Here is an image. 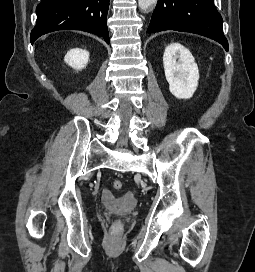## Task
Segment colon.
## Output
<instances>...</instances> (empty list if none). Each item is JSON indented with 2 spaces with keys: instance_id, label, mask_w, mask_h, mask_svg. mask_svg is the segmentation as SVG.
I'll return each instance as SVG.
<instances>
[{
  "instance_id": "obj_1",
  "label": "colon",
  "mask_w": 255,
  "mask_h": 272,
  "mask_svg": "<svg viewBox=\"0 0 255 272\" xmlns=\"http://www.w3.org/2000/svg\"><path fill=\"white\" fill-rule=\"evenodd\" d=\"M123 187V182L121 180H115L113 182V188L116 190H119ZM120 228V222L119 221H115L113 223V229L116 231Z\"/></svg>"
}]
</instances>
